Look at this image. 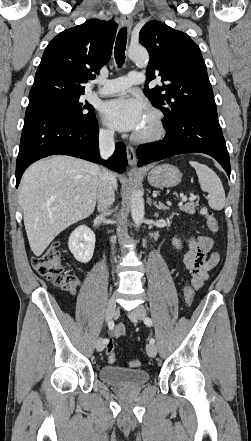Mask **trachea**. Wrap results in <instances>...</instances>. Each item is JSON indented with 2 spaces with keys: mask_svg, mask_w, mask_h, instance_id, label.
<instances>
[{
  "mask_svg": "<svg viewBox=\"0 0 251 441\" xmlns=\"http://www.w3.org/2000/svg\"><path fill=\"white\" fill-rule=\"evenodd\" d=\"M126 43H127V28L124 27L120 29V31L118 32L114 47L115 60L119 67H121L125 62Z\"/></svg>",
  "mask_w": 251,
  "mask_h": 441,
  "instance_id": "1",
  "label": "trachea"
}]
</instances>
